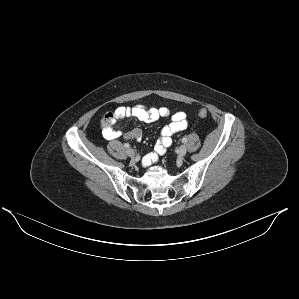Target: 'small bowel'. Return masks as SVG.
<instances>
[{
	"label": "small bowel",
	"instance_id": "small-bowel-1",
	"mask_svg": "<svg viewBox=\"0 0 299 299\" xmlns=\"http://www.w3.org/2000/svg\"><path fill=\"white\" fill-rule=\"evenodd\" d=\"M115 119L126 117H135L144 122H154L163 117H169L170 111L166 107L155 108L144 105H135L133 107L119 106L114 110ZM187 127V116L184 112H176L170 116V122L161 128V137L155 143L153 151L143 158V165L150 166L165 155L173 143V136ZM106 139L112 140L124 138L125 140L139 141L142 138V131L133 128L126 132L120 129H108L103 131Z\"/></svg>",
	"mask_w": 299,
	"mask_h": 299
}]
</instances>
